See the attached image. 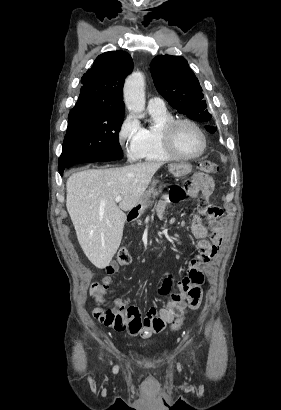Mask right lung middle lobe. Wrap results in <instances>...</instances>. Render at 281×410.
Wrapping results in <instances>:
<instances>
[{
  "instance_id": "obj_1",
  "label": "right lung middle lobe",
  "mask_w": 281,
  "mask_h": 410,
  "mask_svg": "<svg viewBox=\"0 0 281 410\" xmlns=\"http://www.w3.org/2000/svg\"><path fill=\"white\" fill-rule=\"evenodd\" d=\"M124 112L87 106L71 109L58 162L62 171L78 163L118 160L123 157L118 133Z\"/></svg>"
}]
</instances>
